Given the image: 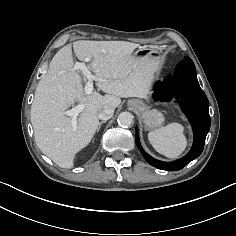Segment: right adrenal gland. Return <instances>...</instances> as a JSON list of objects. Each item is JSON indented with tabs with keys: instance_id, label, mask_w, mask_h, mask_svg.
<instances>
[{
	"instance_id": "obj_1",
	"label": "right adrenal gland",
	"mask_w": 236,
	"mask_h": 236,
	"mask_svg": "<svg viewBox=\"0 0 236 236\" xmlns=\"http://www.w3.org/2000/svg\"><path fill=\"white\" fill-rule=\"evenodd\" d=\"M105 122H106V121L104 120V121H101V122L99 123V126H98V128H97V132L99 131L101 125H102L103 123H105Z\"/></svg>"
}]
</instances>
